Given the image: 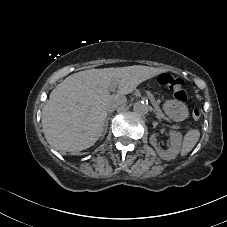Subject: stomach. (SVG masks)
<instances>
[{"mask_svg":"<svg viewBox=\"0 0 227 227\" xmlns=\"http://www.w3.org/2000/svg\"><path fill=\"white\" fill-rule=\"evenodd\" d=\"M163 109L169 118L177 122L185 120L189 115L185 104L177 100H167Z\"/></svg>","mask_w":227,"mask_h":227,"instance_id":"obj_1","label":"stomach"}]
</instances>
